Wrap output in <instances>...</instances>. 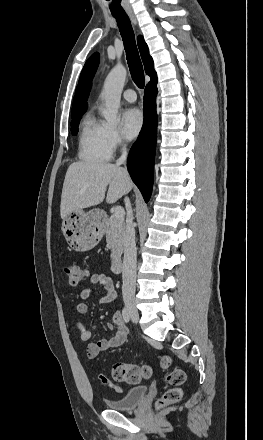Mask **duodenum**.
I'll list each match as a JSON object with an SVG mask.
<instances>
[{
  "instance_id": "duodenum-1",
  "label": "duodenum",
  "mask_w": 263,
  "mask_h": 440,
  "mask_svg": "<svg viewBox=\"0 0 263 440\" xmlns=\"http://www.w3.org/2000/svg\"><path fill=\"white\" fill-rule=\"evenodd\" d=\"M122 268H123V262L119 259L115 260L113 264V272L120 273L122 271Z\"/></svg>"
}]
</instances>
